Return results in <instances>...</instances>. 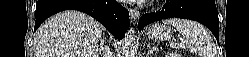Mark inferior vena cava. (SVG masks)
<instances>
[{"instance_id": "inferior-vena-cava-1", "label": "inferior vena cava", "mask_w": 249, "mask_h": 57, "mask_svg": "<svg viewBox=\"0 0 249 57\" xmlns=\"http://www.w3.org/2000/svg\"><path fill=\"white\" fill-rule=\"evenodd\" d=\"M99 51L102 57H112L110 48L106 45L105 46L101 45Z\"/></svg>"}]
</instances>
